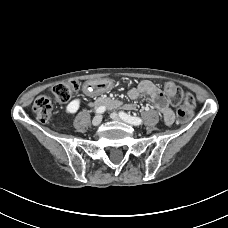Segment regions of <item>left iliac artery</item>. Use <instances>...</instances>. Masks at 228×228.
<instances>
[{
  "instance_id": "44dca946",
  "label": "left iliac artery",
  "mask_w": 228,
  "mask_h": 228,
  "mask_svg": "<svg viewBox=\"0 0 228 228\" xmlns=\"http://www.w3.org/2000/svg\"><path fill=\"white\" fill-rule=\"evenodd\" d=\"M119 115L123 120H125V121H127L133 125H141L142 124V119L139 117L130 116L124 112H119Z\"/></svg>"
}]
</instances>
